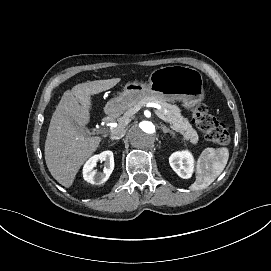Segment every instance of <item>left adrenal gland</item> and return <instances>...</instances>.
I'll list each match as a JSON object with an SVG mask.
<instances>
[{"instance_id":"1","label":"left adrenal gland","mask_w":271,"mask_h":271,"mask_svg":"<svg viewBox=\"0 0 271 271\" xmlns=\"http://www.w3.org/2000/svg\"><path fill=\"white\" fill-rule=\"evenodd\" d=\"M161 129L163 130V133H170V134H173V133L171 132V130H170L168 127H166L164 124L161 125Z\"/></svg>"}]
</instances>
